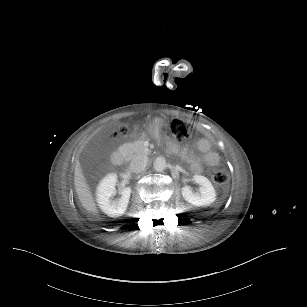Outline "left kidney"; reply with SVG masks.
Returning <instances> with one entry per match:
<instances>
[{
  "mask_svg": "<svg viewBox=\"0 0 307 307\" xmlns=\"http://www.w3.org/2000/svg\"><path fill=\"white\" fill-rule=\"evenodd\" d=\"M193 180L200 186L198 192H193L189 186L181 189L183 198L194 206H209L216 200L215 189L208 178L194 175Z\"/></svg>",
  "mask_w": 307,
  "mask_h": 307,
  "instance_id": "obj_1",
  "label": "left kidney"
}]
</instances>
